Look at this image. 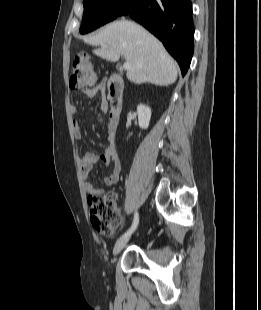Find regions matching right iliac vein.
I'll list each match as a JSON object with an SVG mask.
<instances>
[{
    "label": "right iliac vein",
    "instance_id": "obj_1",
    "mask_svg": "<svg viewBox=\"0 0 261 310\" xmlns=\"http://www.w3.org/2000/svg\"><path fill=\"white\" fill-rule=\"evenodd\" d=\"M129 239H130V235L123 236L117 240V242L115 243L114 248H113V255L114 256L118 255L121 252V250L126 246Z\"/></svg>",
    "mask_w": 261,
    "mask_h": 310
}]
</instances>
